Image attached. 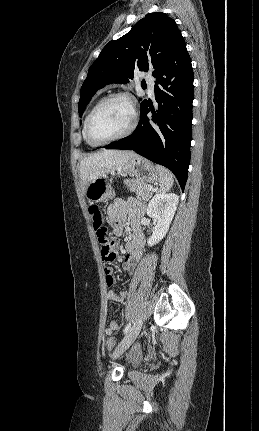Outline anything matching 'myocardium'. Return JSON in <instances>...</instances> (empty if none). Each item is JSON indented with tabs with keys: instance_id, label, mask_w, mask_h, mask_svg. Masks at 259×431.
<instances>
[{
	"instance_id": "1",
	"label": "myocardium",
	"mask_w": 259,
	"mask_h": 431,
	"mask_svg": "<svg viewBox=\"0 0 259 431\" xmlns=\"http://www.w3.org/2000/svg\"><path fill=\"white\" fill-rule=\"evenodd\" d=\"M113 99H123L125 100L128 104L129 107L131 109V113H132V121L130 126L121 134L105 139V140H98L96 139L93 134H92V123L94 120V117L96 115V113L98 112V110L107 102L113 100ZM138 122H139V116H138V112H137V108H136V103L134 98L126 92H117V93H111L107 96H105L104 98H102L91 110L88 119H87V123H86V136L88 138V140L94 144V145H104V144H108L114 141H118L121 139H124L126 137H128L129 135H131L137 128L138 126Z\"/></svg>"
}]
</instances>
